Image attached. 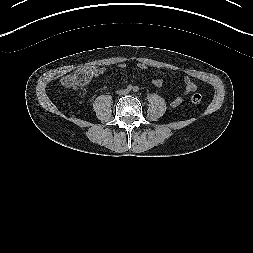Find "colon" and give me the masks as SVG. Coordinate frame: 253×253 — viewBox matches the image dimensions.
Segmentation results:
<instances>
[{"mask_svg": "<svg viewBox=\"0 0 253 253\" xmlns=\"http://www.w3.org/2000/svg\"><path fill=\"white\" fill-rule=\"evenodd\" d=\"M91 72H92V70H90V69H83V70H82V73H83L85 76H88L89 73H91ZM77 84H81V83H77ZM201 99H202V96H201V94L198 93V92H194V93L191 95V100H192V102H194V103H199V102L201 101Z\"/></svg>", "mask_w": 253, "mask_h": 253, "instance_id": "1", "label": "colon"}]
</instances>
